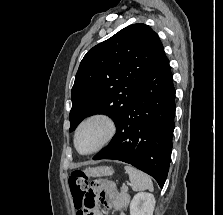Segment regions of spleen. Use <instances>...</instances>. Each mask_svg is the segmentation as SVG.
Instances as JSON below:
<instances>
[{
  "mask_svg": "<svg viewBox=\"0 0 223 215\" xmlns=\"http://www.w3.org/2000/svg\"><path fill=\"white\" fill-rule=\"evenodd\" d=\"M124 169H126V173L129 175L134 191H142V189L153 191V183L147 173H143V171H139V169H135L131 165H125Z\"/></svg>",
  "mask_w": 223,
  "mask_h": 215,
  "instance_id": "1",
  "label": "spleen"
}]
</instances>
